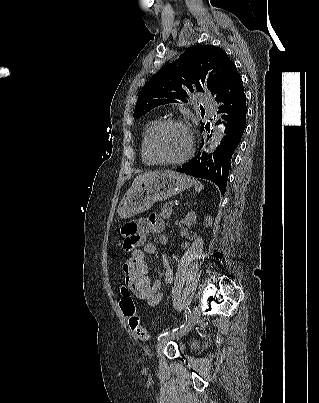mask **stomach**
Returning <instances> with one entry per match:
<instances>
[{"label": "stomach", "mask_w": 319, "mask_h": 403, "mask_svg": "<svg viewBox=\"0 0 319 403\" xmlns=\"http://www.w3.org/2000/svg\"><path fill=\"white\" fill-rule=\"evenodd\" d=\"M193 183L190 177L171 171L151 176L129 189L119 205L118 216L126 219L142 213L155 202L189 189Z\"/></svg>", "instance_id": "0dacf381"}]
</instances>
